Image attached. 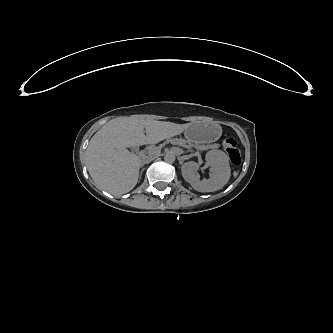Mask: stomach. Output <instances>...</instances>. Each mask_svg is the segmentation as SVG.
Returning a JSON list of instances; mask_svg holds the SVG:
<instances>
[{
    "instance_id": "1",
    "label": "stomach",
    "mask_w": 333,
    "mask_h": 333,
    "mask_svg": "<svg viewBox=\"0 0 333 333\" xmlns=\"http://www.w3.org/2000/svg\"><path fill=\"white\" fill-rule=\"evenodd\" d=\"M186 138L190 142L197 143V141L195 139H193L192 137H190L189 135H187Z\"/></svg>"
}]
</instances>
